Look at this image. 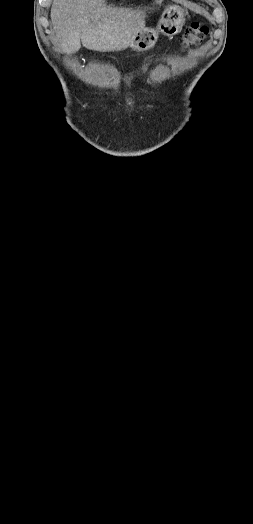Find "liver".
I'll return each mask as SVG.
<instances>
[{
	"mask_svg": "<svg viewBox=\"0 0 253 524\" xmlns=\"http://www.w3.org/2000/svg\"><path fill=\"white\" fill-rule=\"evenodd\" d=\"M158 2V1H157ZM145 11L108 5L105 0H54L51 20L62 53L84 47L111 52L126 49L145 26Z\"/></svg>",
	"mask_w": 253,
	"mask_h": 524,
	"instance_id": "1",
	"label": "liver"
}]
</instances>
